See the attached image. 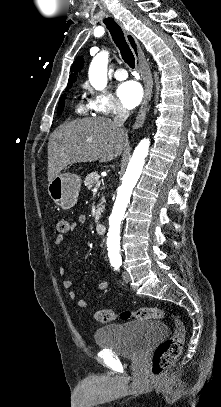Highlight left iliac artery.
Instances as JSON below:
<instances>
[{"label":"left iliac artery","instance_id":"obj_1","mask_svg":"<svg viewBox=\"0 0 221 407\" xmlns=\"http://www.w3.org/2000/svg\"><path fill=\"white\" fill-rule=\"evenodd\" d=\"M120 265H116L115 268L118 269Z\"/></svg>","mask_w":221,"mask_h":407}]
</instances>
